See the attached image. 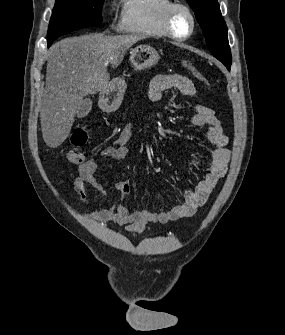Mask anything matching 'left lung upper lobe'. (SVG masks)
<instances>
[{"mask_svg": "<svg viewBox=\"0 0 285 335\" xmlns=\"http://www.w3.org/2000/svg\"><path fill=\"white\" fill-rule=\"evenodd\" d=\"M195 11L197 21L206 38L210 52L220 60L228 70L232 56L228 43V30L222 18L217 0H187Z\"/></svg>", "mask_w": 285, "mask_h": 335, "instance_id": "5c2ea615", "label": "left lung upper lobe"}]
</instances>
